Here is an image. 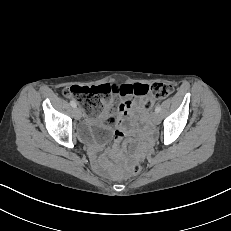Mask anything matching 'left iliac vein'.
<instances>
[{
  "label": "left iliac vein",
  "mask_w": 231,
  "mask_h": 231,
  "mask_svg": "<svg viewBox=\"0 0 231 231\" xmlns=\"http://www.w3.org/2000/svg\"><path fill=\"white\" fill-rule=\"evenodd\" d=\"M151 120L154 124H158L160 122V114L159 112H154L151 116Z\"/></svg>",
  "instance_id": "1"
}]
</instances>
